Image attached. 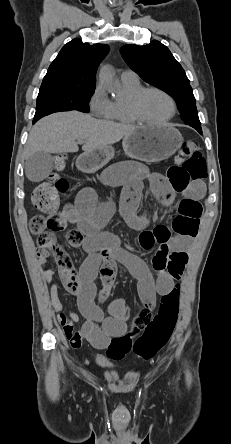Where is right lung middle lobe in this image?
Masks as SVG:
<instances>
[{"label":"right lung middle lobe","mask_w":231,"mask_h":444,"mask_svg":"<svg viewBox=\"0 0 231 444\" xmlns=\"http://www.w3.org/2000/svg\"><path fill=\"white\" fill-rule=\"evenodd\" d=\"M95 88H40L33 123L58 111L88 112L87 103Z\"/></svg>","instance_id":"1"}]
</instances>
